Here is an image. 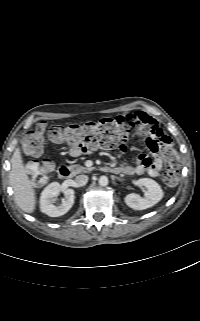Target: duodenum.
<instances>
[{
  "mask_svg": "<svg viewBox=\"0 0 200 321\" xmlns=\"http://www.w3.org/2000/svg\"><path fill=\"white\" fill-rule=\"evenodd\" d=\"M105 171L107 172H112V173H118L119 170L117 167H112V166H107L104 168ZM58 175L61 179H69L72 177V171L69 167L63 165L60 166L58 169Z\"/></svg>",
  "mask_w": 200,
  "mask_h": 321,
  "instance_id": "410a0bca",
  "label": "duodenum"
}]
</instances>
